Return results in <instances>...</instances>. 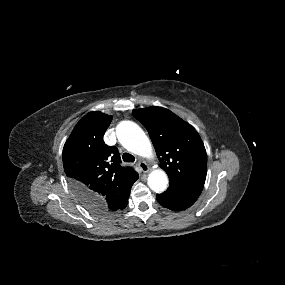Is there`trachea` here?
<instances>
[{"label": "trachea", "mask_w": 285, "mask_h": 285, "mask_svg": "<svg viewBox=\"0 0 285 285\" xmlns=\"http://www.w3.org/2000/svg\"><path fill=\"white\" fill-rule=\"evenodd\" d=\"M122 158H123L124 162H129V163L131 162L132 163V162L135 161V157L132 154H129V153H124Z\"/></svg>", "instance_id": "1"}]
</instances>
